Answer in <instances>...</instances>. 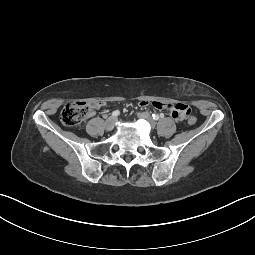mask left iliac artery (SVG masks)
<instances>
[{
	"label": "left iliac artery",
	"mask_w": 255,
	"mask_h": 255,
	"mask_svg": "<svg viewBox=\"0 0 255 255\" xmlns=\"http://www.w3.org/2000/svg\"><path fill=\"white\" fill-rule=\"evenodd\" d=\"M152 118L154 119V120H159V115H157V114H152Z\"/></svg>",
	"instance_id": "left-iliac-artery-1"
}]
</instances>
